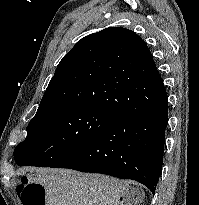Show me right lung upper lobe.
<instances>
[{"label":"right lung upper lobe","instance_id":"right-lung-upper-lobe-1","mask_svg":"<svg viewBox=\"0 0 199 205\" xmlns=\"http://www.w3.org/2000/svg\"><path fill=\"white\" fill-rule=\"evenodd\" d=\"M158 76L141 37L126 28H106L79 40L62 58L37 111L86 105L118 115L145 97L135 84Z\"/></svg>","mask_w":199,"mask_h":205}]
</instances>
